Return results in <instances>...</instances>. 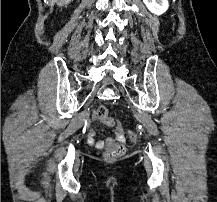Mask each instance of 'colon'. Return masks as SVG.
Instances as JSON below:
<instances>
[{"label": "colon", "instance_id": "obj_1", "mask_svg": "<svg viewBox=\"0 0 217 202\" xmlns=\"http://www.w3.org/2000/svg\"><path fill=\"white\" fill-rule=\"evenodd\" d=\"M97 116L103 122V126H111L112 123H115V118H107V108L104 105L97 110ZM127 136L129 140H136V135L134 131H127ZM124 154V145L122 143L113 144L106 152L105 156L107 158H117Z\"/></svg>", "mask_w": 217, "mask_h": 202}]
</instances>
